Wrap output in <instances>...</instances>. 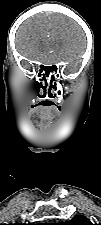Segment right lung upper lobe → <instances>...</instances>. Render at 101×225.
<instances>
[{"label": "right lung upper lobe", "mask_w": 101, "mask_h": 225, "mask_svg": "<svg viewBox=\"0 0 101 225\" xmlns=\"http://www.w3.org/2000/svg\"><path fill=\"white\" fill-rule=\"evenodd\" d=\"M11 225H26V224L16 223V224H11ZM27 225H37V224H27Z\"/></svg>", "instance_id": "right-lung-upper-lobe-1"}]
</instances>
